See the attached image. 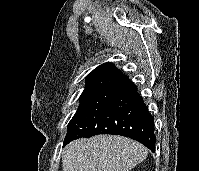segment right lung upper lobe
I'll return each mask as SVG.
<instances>
[{
	"label": "right lung upper lobe",
	"instance_id": "1",
	"mask_svg": "<svg viewBox=\"0 0 199 171\" xmlns=\"http://www.w3.org/2000/svg\"><path fill=\"white\" fill-rule=\"evenodd\" d=\"M121 73L122 72L118 70L114 64L107 62L99 65L96 69H94L91 73H89L88 76L86 77V80L98 76L116 77Z\"/></svg>",
	"mask_w": 199,
	"mask_h": 171
}]
</instances>
